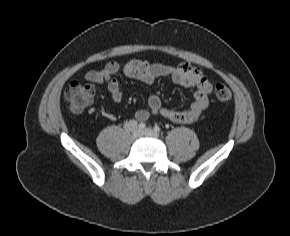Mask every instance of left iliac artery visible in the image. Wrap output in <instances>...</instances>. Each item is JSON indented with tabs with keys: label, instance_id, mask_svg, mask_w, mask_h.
<instances>
[{
	"label": "left iliac artery",
	"instance_id": "44dca946",
	"mask_svg": "<svg viewBox=\"0 0 290 236\" xmlns=\"http://www.w3.org/2000/svg\"><path fill=\"white\" fill-rule=\"evenodd\" d=\"M154 131H156L157 133H159V132L161 131V129H160L159 126L156 125V126L154 127Z\"/></svg>",
	"mask_w": 290,
	"mask_h": 236
}]
</instances>
